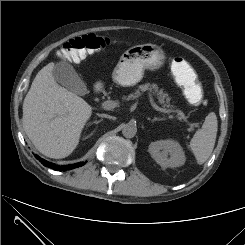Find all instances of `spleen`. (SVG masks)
<instances>
[{
	"label": "spleen",
	"instance_id": "1",
	"mask_svg": "<svg viewBox=\"0 0 245 245\" xmlns=\"http://www.w3.org/2000/svg\"><path fill=\"white\" fill-rule=\"evenodd\" d=\"M218 129L217 117L214 112L209 113L202 125L190 141V149L199 165L205 163L214 149Z\"/></svg>",
	"mask_w": 245,
	"mask_h": 245
}]
</instances>
